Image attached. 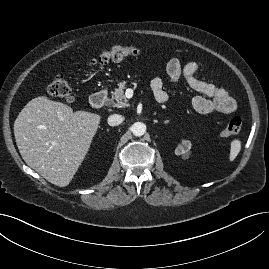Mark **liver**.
Masks as SVG:
<instances>
[{
  "label": "liver",
  "instance_id": "1",
  "mask_svg": "<svg viewBox=\"0 0 269 269\" xmlns=\"http://www.w3.org/2000/svg\"><path fill=\"white\" fill-rule=\"evenodd\" d=\"M101 116L76 111L39 96L29 101L14 122L19 152L28 166L50 183L68 186L84 161Z\"/></svg>",
  "mask_w": 269,
  "mask_h": 269
}]
</instances>
